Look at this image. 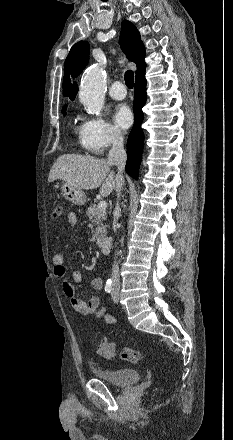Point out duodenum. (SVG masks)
<instances>
[{
    "mask_svg": "<svg viewBox=\"0 0 233 440\" xmlns=\"http://www.w3.org/2000/svg\"><path fill=\"white\" fill-rule=\"evenodd\" d=\"M111 243L112 242H111L110 238L99 239V247H100L101 251L108 252L110 250Z\"/></svg>",
    "mask_w": 233,
    "mask_h": 440,
    "instance_id": "410a0bca",
    "label": "duodenum"
}]
</instances>
